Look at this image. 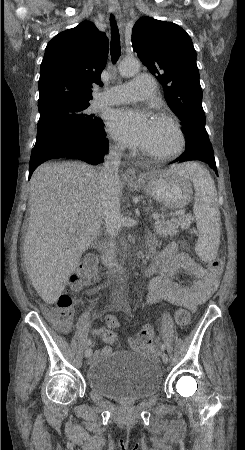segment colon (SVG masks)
<instances>
[{
  "label": "colon",
  "mask_w": 245,
  "mask_h": 450,
  "mask_svg": "<svg viewBox=\"0 0 245 450\" xmlns=\"http://www.w3.org/2000/svg\"><path fill=\"white\" fill-rule=\"evenodd\" d=\"M223 267L221 259H214L210 263V269L213 272H220ZM97 276L96 260L92 254H86L84 259L80 262L79 266L71 276L68 285L71 290H75L78 287V283L81 278L87 280H94ZM72 300L70 296L63 294L60 295L56 304L49 307L46 311V316L50 322H52L59 330L66 331L72 325V317L70 312V305ZM174 318L177 324L185 326L190 321V313L184 306H179L175 313ZM117 323V319L113 316L106 318L107 327H111ZM154 337L153 328L149 325L144 326L137 334L136 340L140 345L151 344ZM103 340L110 345L118 343V336L110 329H107L103 334Z\"/></svg>",
  "instance_id": "1"
}]
</instances>
